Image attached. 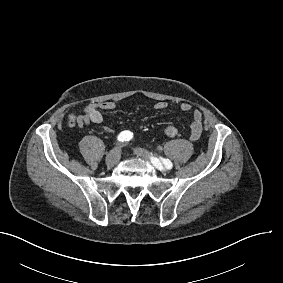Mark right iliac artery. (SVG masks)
I'll return each instance as SVG.
<instances>
[{
  "label": "right iliac artery",
  "instance_id": "obj_1",
  "mask_svg": "<svg viewBox=\"0 0 283 283\" xmlns=\"http://www.w3.org/2000/svg\"><path fill=\"white\" fill-rule=\"evenodd\" d=\"M132 138H133V133L128 130L122 131L118 136V140L120 142L129 141Z\"/></svg>",
  "mask_w": 283,
  "mask_h": 283
}]
</instances>
